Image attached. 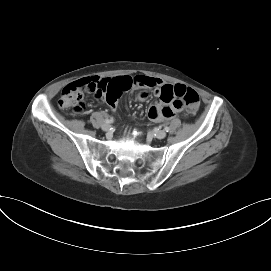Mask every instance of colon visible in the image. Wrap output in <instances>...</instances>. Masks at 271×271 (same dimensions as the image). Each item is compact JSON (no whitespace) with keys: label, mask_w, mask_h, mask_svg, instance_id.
I'll list each match as a JSON object with an SVG mask.
<instances>
[{"label":"colon","mask_w":271,"mask_h":271,"mask_svg":"<svg viewBox=\"0 0 271 271\" xmlns=\"http://www.w3.org/2000/svg\"><path fill=\"white\" fill-rule=\"evenodd\" d=\"M138 85L141 80L138 79ZM92 80L82 79L68 84L61 93L58 105L62 109H71L75 113H80L84 108L83 95L84 92H90L89 85ZM91 93V92H90ZM162 97L166 101L176 99L182 105H185L190 112H195L200 103L198 93L183 85L174 87H164L162 89Z\"/></svg>","instance_id":"obj_1"}]
</instances>
